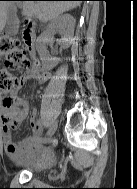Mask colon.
<instances>
[{
	"label": "colon",
	"instance_id": "1",
	"mask_svg": "<svg viewBox=\"0 0 137 189\" xmlns=\"http://www.w3.org/2000/svg\"><path fill=\"white\" fill-rule=\"evenodd\" d=\"M0 58L5 67L0 68V103L11 104V95L20 86V79L15 71H22L31 66L21 41L18 38L0 34Z\"/></svg>",
	"mask_w": 137,
	"mask_h": 189
}]
</instances>
